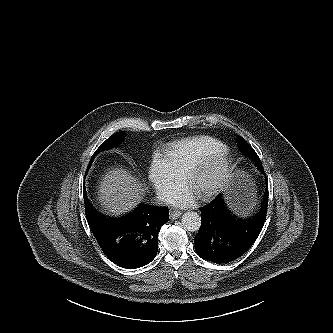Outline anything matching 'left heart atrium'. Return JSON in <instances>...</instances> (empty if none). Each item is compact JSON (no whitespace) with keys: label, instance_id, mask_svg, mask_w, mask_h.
<instances>
[{"label":"left heart atrium","instance_id":"39dd6f15","mask_svg":"<svg viewBox=\"0 0 333 333\" xmlns=\"http://www.w3.org/2000/svg\"><path fill=\"white\" fill-rule=\"evenodd\" d=\"M193 198H194L193 193L188 190H185L174 194L171 197L170 202L178 206H187L192 203Z\"/></svg>","mask_w":333,"mask_h":333}]
</instances>
